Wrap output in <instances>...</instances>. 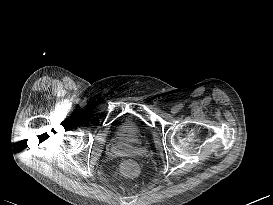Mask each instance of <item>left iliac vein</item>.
<instances>
[{
  "instance_id": "1",
  "label": "left iliac vein",
  "mask_w": 273,
  "mask_h": 205,
  "mask_svg": "<svg viewBox=\"0 0 273 205\" xmlns=\"http://www.w3.org/2000/svg\"><path fill=\"white\" fill-rule=\"evenodd\" d=\"M179 112V108L177 106H174L171 108V113L172 114H177Z\"/></svg>"
}]
</instances>
